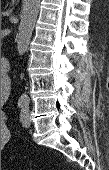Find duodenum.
I'll return each mask as SVG.
<instances>
[{
  "instance_id": "1",
  "label": "duodenum",
  "mask_w": 109,
  "mask_h": 170,
  "mask_svg": "<svg viewBox=\"0 0 109 170\" xmlns=\"http://www.w3.org/2000/svg\"><path fill=\"white\" fill-rule=\"evenodd\" d=\"M1 73H2V80H1V90L6 91L9 88L10 80H9V62L8 60L4 59L1 62Z\"/></svg>"
}]
</instances>
